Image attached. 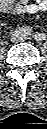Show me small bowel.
I'll return each instance as SVG.
<instances>
[{
    "instance_id": "small-bowel-1",
    "label": "small bowel",
    "mask_w": 47,
    "mask_h": 129,
    "mask_svg": "<svg viewBox=\"0 0 47 129\" xmlns=\"http://www.w3.org/2000/svg\"><path fill=\"white\" fill-rule=\"evenodd\" d=\"M0 8L4 13L35 14L47 9V0H19L17 3L14 0H0Z\"/></svg>"
}]
</instances>
